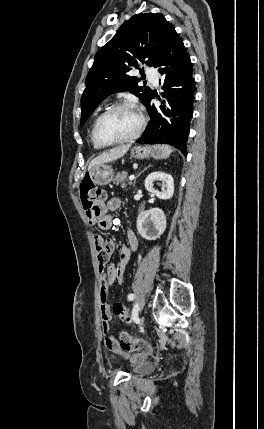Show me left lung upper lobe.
Returning <instances> with one entry per match:
<instances>
[{
    "mask_svg": "<svg viewBox=\"0 0 264 429\" xmlns=\"http://www.w3.org/2000/svg\"><path fill=\"white\" fill-rule=\"evenodd\" d=\"M174 27L162 14H136L124 22L115 36L95 55L81 98V126L109 94L129 90L146 105L152 95L127 73L140 63L156 66L164 42ZM143 73V70L141 71ZM142 79V78H141Z\"/></svg>",
    "mask_w": 264,
    "mask_h": 429,
    "instance_id": "obj_1",
    "label": "left lung upper lobe"
}]
</instances>
